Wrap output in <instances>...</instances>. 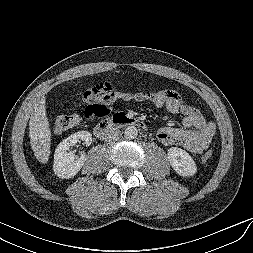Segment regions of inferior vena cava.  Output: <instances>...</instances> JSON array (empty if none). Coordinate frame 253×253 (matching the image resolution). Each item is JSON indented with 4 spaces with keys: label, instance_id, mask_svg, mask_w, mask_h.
<instances>
[{
    "label": "inferior vena cava",
    "instance_id": "602c4592",
    "mask_svg": "<svg viewBox=\"0 0 253 253\" xmlns=\"http://www.w3.org/2000/svg\"><path fill=\"white\" fill-rule=\"evenodd\" d=\"M121 136V131L114 127L107 128L104 132V139L107 142L117 141L121 138Z\"/></svg>",
    "mask_w": 253,
    "mask_h": 253
}]
</instances>
